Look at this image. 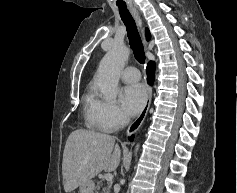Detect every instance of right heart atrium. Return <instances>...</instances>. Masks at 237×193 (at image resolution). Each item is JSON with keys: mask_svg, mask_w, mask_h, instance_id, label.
<instances>
[{"mask_svg": "<svg viewBox=\"0 0 237 193\" xmlns=\"http://www.w3.org/2000/svg\"><path fill=\"white\" fill-rule=\"evenodd\" d=\"M95 111L102 131L112 132L127 123L126 114L113 101L98 99L96 101Z\"/></svg>", "mask_w": 237, "mask_h": 193, "instance_id": "1", "label": "right heart atrium"}]
</instances>
